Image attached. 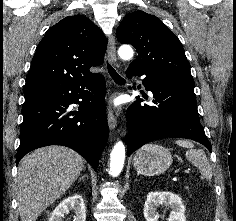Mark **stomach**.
<instances>
[{
  "mask_svg": "<svg viewBox=\"0 0 236 221\" xmlns=\"http://www.w3.org/2000/svg\"><path fill=\"white\" fill-rule=\"evenodd\" d=\"M172 161L169 149L157 144H147L135 153L133 167L138 174L154 176L164 173Z\"/></svg>",
  "mask_w": 236,
  "mask_h": 221,
  "instance_id": "1",
  "label": "stomach"
}]
</instances>
